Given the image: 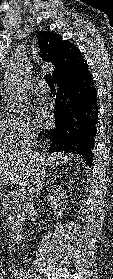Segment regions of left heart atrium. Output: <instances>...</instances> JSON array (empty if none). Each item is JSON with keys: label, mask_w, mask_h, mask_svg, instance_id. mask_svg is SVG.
Listing matches in <instances>:
<instances>
[{"label": "left heart atrium", "mask_w": 113, "mask_h": 279, "mask_svg": "<svg viewBox=\"0 0 113 279\" xmlns=\"http://www.w3.org/2000/svg\"><path fill=\"white\" fill-rule=\"evenodd\" d=\"M33 114L35 119L41 124H44L49 118V110L47 106L42 104H38L34 107Z\"/></svg>", "instance_id": "left-heart-atrium-1"}]
</instances>
